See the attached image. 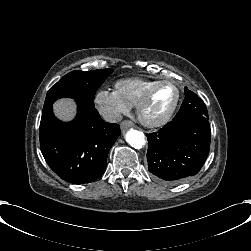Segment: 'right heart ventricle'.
<instances>
[{
  "instance_id": "1",
  "label": "right heart ventricle",
  "mask_w": 251,
  "mask_h": 251,
  "mask_svg": "<svg viewBox=\"0 0 251 251\" xmlns=\"http://www.w3.org/2000/svg\"><path fill=\"white\" fill-rule=\"evenodd\" d=\"M156 80L150 76L121 78L114 82V91L124 102L136 106L146 89Z\"/></svg>"
}]
</instances>
